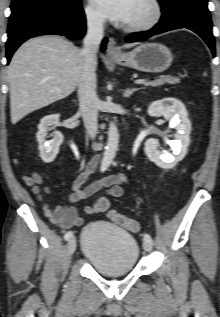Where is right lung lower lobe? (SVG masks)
I'll return each instance as SVG.
<instances>
[{
  "instance_id": "98d812e1",
  "label": "right lung lower lobe",
  "mask_w": 220,
  "mask_h": 317,
  "mask_svg": "<svg viewBox=\"0 0 220 317\" xmlns=\"http://www.w3.org/2000/svg\"><path fill=\"white\" fill-rule=\"evenodd\" d=\"M85 15L82 8L65 11L53 8H30L11 14L8 25L6 56L8 62L15 50L27 39L44 34L66 35L79 39L85 34ZM107 39L102 42L105 49Z\"/></svg>"
}]
</instances>
